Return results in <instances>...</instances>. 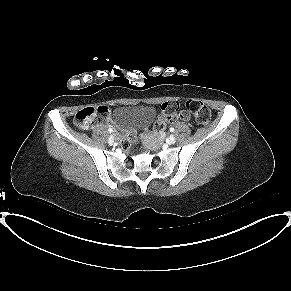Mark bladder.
Here are the masks:
<instances>
[{"mask_svg": "<svg viewBox=\"0 0 291 291\" xmlns=\"http://www.w3.org/2000/svg\"><path fill=\"white\" fill-rule=\"evenodd\" d=\"M153 118V109L144 105H119L112 114L113 124L119 130L142 129L148 126Z\"/></svg>", "mask_w": 291, "mask_h": 291, "instance_id": "31cf9c89", "label": "bladder"}]
</instances>
